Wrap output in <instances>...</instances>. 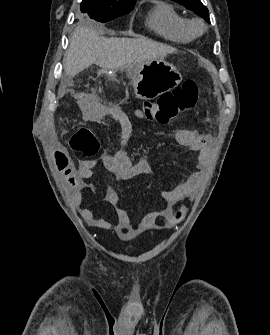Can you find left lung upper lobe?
Masks as SVG:
<instances>
[{"label": "left lung upper lobe", "instance_id": "left-lung-upper-lobe-1", "mask_svg": "<svg viewBox=\"0 0 270 335\" xmlns=\"http://www.w3.org/2000/svg\"><path fill=\"white\" fill-rule=\"evenodd\" d=\"M174 1L194 11L195 14L200 15L208 23H210L208 9L201 3L200 0H174Z\"/></svg>", "mask_w": 270, "mask_h": 335}]
</instances>
